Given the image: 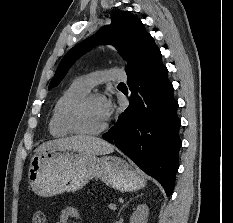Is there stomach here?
I'll list each match as a JSON object with an SVG mask.
<instances>
[{"mask_svg": "<svg viewBox=\"0 0 233 223\" xmlns=\"http://www.w3.org/2000/svg\"><path fill=\"white\" fill-rule=\"evenodd\" d=\"M93 177L119 191H136L146 185L130 163L115 155L99 157L50 145L38 149L30 159L28 179L39 197H52L66 191L75 193Z\"/></svg>", "mask_w": 233, "mask_h": 223, "instance_id": "obj_1", "label": "stomach"}]
</instances>
